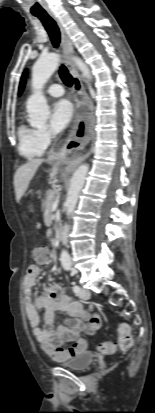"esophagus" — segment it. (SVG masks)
Masks as SVG:
<instances>
[{
    "label": "esophagus",
    "mask_w": 155,
    "mask_h": 413,
    "mask_svg": "<svg viewBox=\"0 0 155 413\" xmlns=\"http://www.w3.org/2000/svg\"><path fill=\"white\" fill-rule=\"evenodd\" d=\"M49 16L52 17L55 22L57 23V26L60 30L61 33V46L62 50L64 53V62L66 67L68 68L69 72L73 76V83H74V91H75V96H76V114L81 115L82 113L85 112L86 108L89 106V97L87 95L86 89L83 85V83L80 81V79L76 76L75 74V67L73 64V61L71 59L72 53H73V47L70 42V39L66 33L65 28L59 21V19L55 16L53 12H48ZM75 134V132H74ZM73 139H69L64 146L62 147V152L67 153L70 152L74 146H72ZM90 155V151L87 152L86 154L79 156L75 159L72 160L70 164V169L76 168L82 161H84L88 156Z\"/></svg>",
    "instance_id": "1"
}]
</instances>
